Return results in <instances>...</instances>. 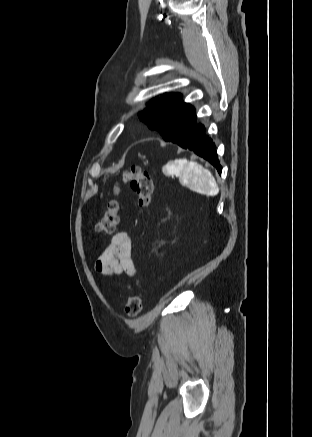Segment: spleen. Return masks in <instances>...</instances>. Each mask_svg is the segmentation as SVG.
<instances>
[{
	"mask_svg": "<svg viewBox=\"0 0 312 437\" xmlns=\"http://www.w3.org/2000/svg\"><path fill=\"white\" fill-rule=\"evenodd\" d=\"M164 170L170 174L181 175L197 192L211 196L219 192L214 176L197 162L179 159L169 162Z\"/></svg>",
	"mask_w": 312,
	"mask_h": 437,
	"instance_id": "spleen-1",
	"label": "spleen"
}]
</instances>
